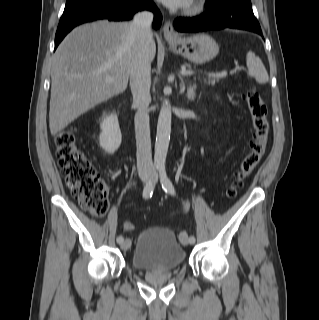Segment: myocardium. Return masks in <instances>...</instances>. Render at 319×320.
Here are the masks:
<instances>
[{"label":"myocardium","mask_w":319,"mask_h":320,"mask_svg":"<svg viewBox=\"0 0 319 320\" xmlns=\"http://www.w3.org/2000/svg\"><path fill=\"white\" fill-rule=\"evenodd\" d=\"M205 6V0H192L190 4L185 8L186 14H196L200 12Z\"/></svg>","instance_id":"obj_1"}]
</instances>
